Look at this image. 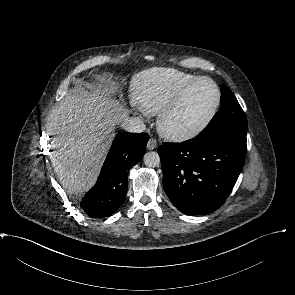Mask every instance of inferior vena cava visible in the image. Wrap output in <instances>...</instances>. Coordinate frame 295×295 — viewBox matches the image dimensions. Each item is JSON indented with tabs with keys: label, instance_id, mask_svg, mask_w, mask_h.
I'll list each match as a JSON object with an SVG mask.
<instances>
[{
	"label": "inferior vena cava",
	"instance_id": "inferior-vena-cava-1",
	"mask_svg": "<svg viewBox=\"0 0 295 295\" xmlns=\"http://www.w3.org/2000/svg\"><path fill=\"white\" fill-rule=\"evenodd\" d=\"M121 127L132 133H141L145 130L144 122L138 117L125 118L121 122Z\"/></svg>",
	"mask_w": 295,
	"mask_h": 295
}]
</instances>
